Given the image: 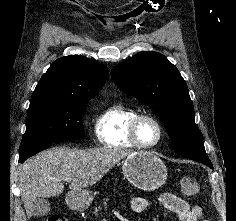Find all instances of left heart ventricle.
<instances>
[{
    "instance_id": "obj_1",
    "label": "left heart ventricle",
    "mask_w": 236,
    "mask_h": 221,
    "mask_svg": "<svg viewBox=\"0 0 236 221\" xmlns=\"http://www.w3.org/2000/svg\"><path fill=\"white\" fill-rule=\"evenodd\" d=\"M138 138L143 144H152L158 138V129L150 120H142L138 127Z\"/></svg>"
}]
</instances>
